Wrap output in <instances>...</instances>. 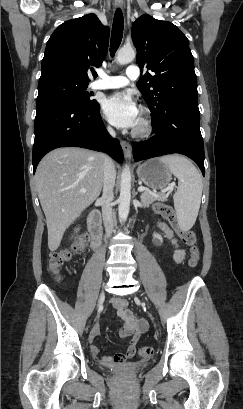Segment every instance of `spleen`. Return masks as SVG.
<instances>
[{"mask_svg": "<svg viewBox=\"0 0 243 409\" xmlns=\"http://www.w3.org/2000/svg\"><path fill=\"white\" fill-rule=\"evenodd\" d=\"M160 161L178 178L177 191L173 195L174 208L180 229L188 231L195 224L200 208L201 175L192 162L183 156L166 155Z\"/></svg>", "mask_w": 243, "mask_h": 409, "instance_id": "1", "label": "spleen"}]
</instances>
